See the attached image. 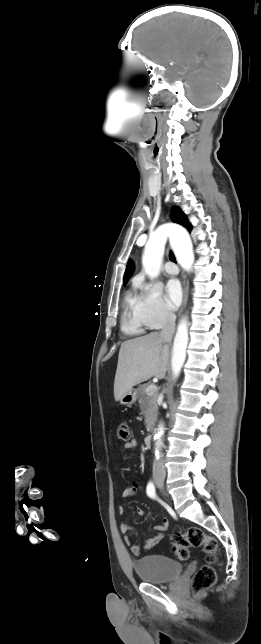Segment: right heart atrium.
Masks as SVG:
<instances>
[{"label": "right heart atrium", "instance_id": "obj_1", "mask_svg": "<svg viewBox=\"0 0 261 644\" xmlns=\"http://www.w3.org/2000/svg\"><path fill=\"white\" fill-rule=\"evenodd\" d=\"M136 284L140 290V313L147 327L158 329L172 324L175 316L165 303L161 288L143 279H138Z\"/></svg>", "mask_w": 261, "mask_h": 644}]
</instances>
